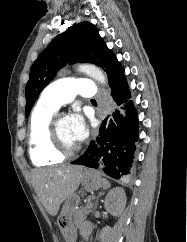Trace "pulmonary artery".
Listing matches in <instances>:
<instances>
[{"mask_svg":"<svg viewBox=\"0 0 187 242\" xmlns=\"http://www.w3.org/2000/svg\"><path fill=\"white\" fill-rule=\"evenodd\" d=\"M80 95L92 98L96 95V86L92 80L83 78H64L47 86L40 96V102L56 110Z\"/></svg>","mask_w":187,"mask_h":242,"instance_id":"1","label":"pulmonary artery"}]
</instances>
